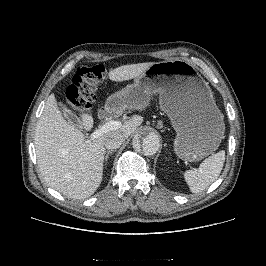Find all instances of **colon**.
I'll use <instances>...</instances> for the list:
<instances>
[{
  "mask_svg": "<svg viewBox=\"0 0 266 266\" xmlns=\"http://www.w3.org/2000/svg\"><path fill=\"white\" fill-rule=\"evenodd\" d=\"M104 77L105 68L100 64L78 66L71 84L66 89L68 103L79 112H87Z\"/></svg>",
  "mask_w": 266,
  "mask_h": 266,
  "instance_id": "obj_1",
  "label": "colon"
}]
</instances>
